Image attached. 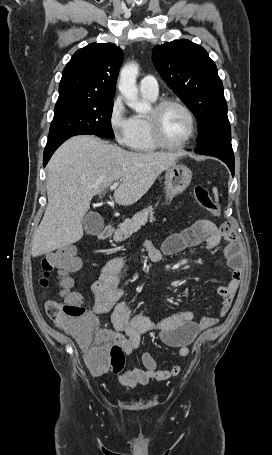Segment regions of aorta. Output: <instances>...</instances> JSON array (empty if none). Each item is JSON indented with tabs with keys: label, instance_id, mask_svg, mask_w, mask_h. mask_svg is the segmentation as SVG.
<instances>
[{
	"label": "aorta",
	"instance_id": "obj_1",
	"mask_svg": "<svg viewBox=\"0 0 272 455\" xmlns=\"http://www.w3.org/2000/svg\"><path fill=\"white\" fill-rule=\"evenodd\" d=\"M139 73V66L135 62L125 65L120 72L118 88L126 100V104L137 113H145L149 107L138 99V88L136 78Z\"/></svg>",
	"mask_w": 272,
	"mask_h": 455
}]
</instances>
